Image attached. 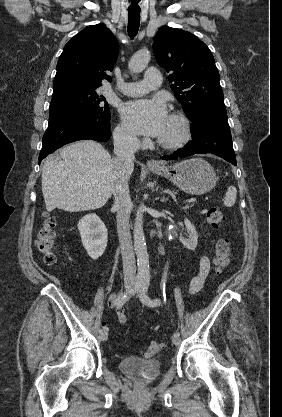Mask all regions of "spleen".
Masks as SVG:
<instances>
[{
	"label": "spleen",
	"mask_w": 282,
	"mask_h": 417,
	"mask_svg": "<svg viewBox=\"0 0 282 417\" xmlns=\"http://www.w3.org/2000/svg\"><path fill=\"white\" fill-rule=\"evenodd\" d=\"M236 192L237 190L235 186H229V188H227V192L225 194V200L223 202L225 206H233V204H235Z\"/></svg>",
	"instance_id": "spleen-1"
}]
</instances>
